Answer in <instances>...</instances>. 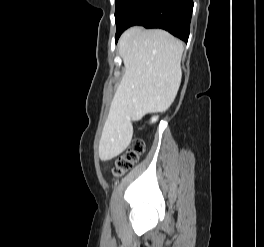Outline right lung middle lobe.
I'll use <instances>...</instances> for the list:
<instances>
[{"label":"right lung middle lobe","instance_id":"obj_1","mask_svg":"<svg viewBox=\"0 0 264 247\" xmlns=\"http://www.w3.org/2000/svg\"><path fill=\"white\" fill-rule=\"evenodd\" d=\"M115 2H116L115 21L117 24L119 17L121 16L122 11L124 10L125 6L129 2V0H115Z\"/></svg>","mask_w":264,"mask_h":247}]
</instances>
